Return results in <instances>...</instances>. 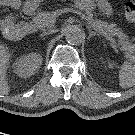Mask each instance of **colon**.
Instances as JSON below:
<instances>
[{
  "label": "colon",
  "instance_id": "colon-1",
  "mask_svg": "<svg viewBox=\"0 0 135 135\" xmlns=\"http://www.w3.org/2000/svg\"><path fill=\"white\" fill-rule=\"evenodd\" d=\"M125 16L130 22L135 23V0H129L126 3Z\"/></svg>",
  "mask_w": 135,
  "mask_h": 135
}]
</instances>
